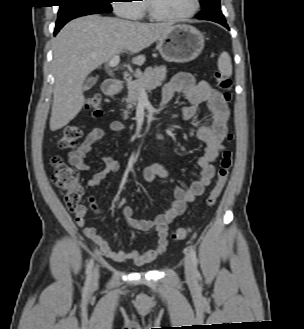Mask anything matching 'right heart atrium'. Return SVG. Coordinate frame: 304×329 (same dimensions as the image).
Listing matches in <instances>:
<instances>
[{
	"label": "right heart atrium",
	"instance_id": "1",
	"mask_svg": "<svg viewBox=\"0 0 304 329\" xmlns=\"http://www.w3.org/2000/svg\"><path fill=\"white\" fill-rule=\"evenodd\" d=\"M137 0H114V10L118 16L127 19H138L141 17V7L134 4Z\"/></svg>",
	"mask_w": 304,
	"mask_h": 329
}]
</instances>
